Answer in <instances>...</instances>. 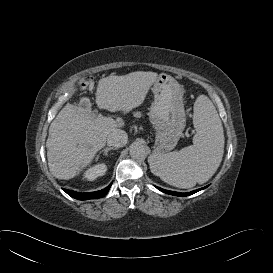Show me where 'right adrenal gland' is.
<instances>
[{
	"instance_id": "2a0ac1e0",
	"label": "right adrenal gland",
	"mask_w": 273,
	"mask_h": 273,
	"mask_svg": "<svg viewBox=\"0 0 273 273\" xmlns=\"http://www.w3.org/2000/svg\"><path fill=\"white\" fill-rule=\"evenodd\" d=\"M110 150H117V148H115V147H106L105 149H103L102 151H100V153L97 155V160H98V158L100 157V154H101V153H104V155L107 156V155H108V152H109Z\"/></svg>"
}]
</instances>
